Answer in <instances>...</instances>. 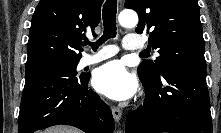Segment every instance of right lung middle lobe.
Segmentation results:
<instances>
[{
    "label": "right lung middle lobe",
    "instance_id": "dd1d6c3e",
    "mask_svg": "<svg viewBox=\"0 0 221 133\" xmlns=\"http://www.w3.org/2000/svg\"><path fill=\"white\" fill-rule=\"evenodd\" d=\"M77 64H78V62H72V63H64V64H60V65H62L64 68H66L70 71H75ZM56 65H59V64H56Z\"/></svg>",
    "mask_w": 221,
    "mask_h": 133
}]
</instances>
